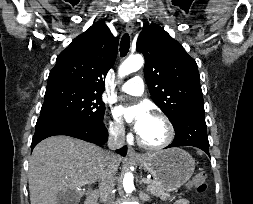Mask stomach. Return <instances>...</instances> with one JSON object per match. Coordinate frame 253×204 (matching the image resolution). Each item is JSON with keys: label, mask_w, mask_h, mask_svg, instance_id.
<instances>
[{"label": "stomach", "mask_w": 253, "mask_h": 204, "mask_svg": "<svg viewBox=\"0 0 253 204\" xmlns=\"http://www.w3.org/2000/svg\"><path fill=\"white\" fill-rule=\"evenodd\" d=\"M135 162L169 192L184 185L195 169L191 155L180 148L143 154Z\"/></svg>", "instance_id": "stomach-1"}]
</instances>
